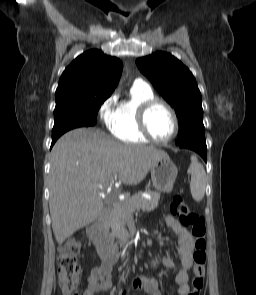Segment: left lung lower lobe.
Listing matches in <instances>:
<instances>
[{
	"instance_id": "left-lung-lower-lobe-1",
	"label": "left lung lower lobe",
	"mask_w": 256,
	"mask_h": 295,
	"mask_svg": "<svg viewBox=\"0 0 256 295\" xmlns=\"http://www.w3.org/2000/svg\"><path fill=\"white\" fill-rule=\"evenodd\" d=\"M177 145L180 148H187L197 152L205 161H207V146L205 141H194Z\"/></svg>"
}]
</instances>
